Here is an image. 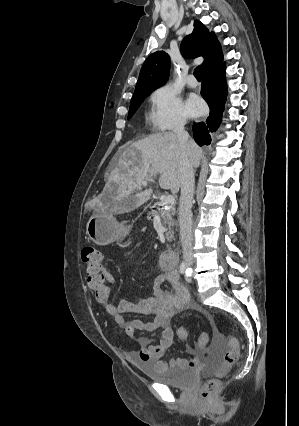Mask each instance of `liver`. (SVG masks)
Segmentation results:
<instances>
[{
	"instance_id": "liver-1",
	"label": "liver",
	"mask_w": 299,
	"mask_h": 426,
	"mask_svg": "<svg viewBox=\"0 0 299 426\" xmlns=\"http://www.w3.org/2000/svg\"><path fill=\"white\" fill-rule=\"evenodd\" d=\"M183 149L175 133H158L130 143L119 155L105 186V200L100 207L115 212H129L151 197L153 189H146L144 181L159 174L162 189L176 194L181 185L180 160ZM190 162L197 168L202 149L192 140L187 148ZM145 188V189H144Z\"/></svg>"
}]
</instances>
